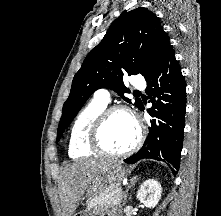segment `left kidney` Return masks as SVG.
Wrapping results in <instances>:
<instances>
[{"label":"left kidney","instance_id":"left-kidney-1","mask_svg":"<svg viewBox=\"0 0 221 216\" xmlns=\"http://www.w3.org/2000/svg\"><path fill=\"white\" fill-rule=\"evenodd\" d=\"M162 193V187L160 183L154 179H148L142 183L137 191V199L144 204L147 208H154Z\"/></svg>","mask_w":221,"mask_h":216}]
</instances>
